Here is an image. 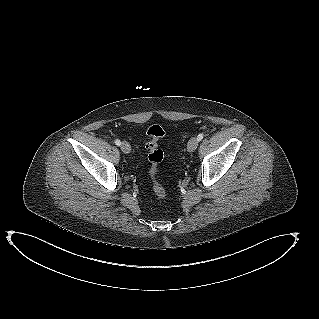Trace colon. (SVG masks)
<instances>
[{
	"mask_svg": "<svg viewBox=\"0 0 319 319\" xmlns=\"http://www.w3.org/2000/svg\"><path fill=\"white\" fill-rule=\"evenodd\" d=\"M164 134V129L160 125H151L147 129L148 141L145 145L148 151L149 174L152 180L153 191L160 199L165 198L167 194L166 187L159 179V165L164 158V153L159 146V140Z\"/></svg>",
	"mask_w": 319,
	"mask_h": 319,
	"instance_id": "colon-1",
	"label": "colon"
}]
</instances>
